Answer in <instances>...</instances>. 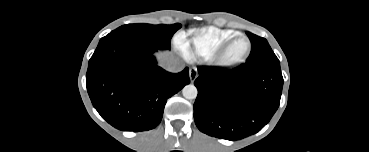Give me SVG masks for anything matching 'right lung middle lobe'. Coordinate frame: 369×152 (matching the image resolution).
<instances>
[{
  "instance_id": "dd1d6c3e",
  "label": "right lung middle lobe",
  "mask_w": 369,
  "mask_h": 152,
  "mask_svg": "<svg viewBox=\"0 0 369 152\" xmlns=\"http://www.w3.org/2000/svg\"><path fill=\"white\" fill-rule=\"evenodd\" d=\"M180 28L181 24H128L113 30L107 36L101 38L99 43L119 38H132L152 44L159 49H170V40Z\"/></svg>"
}]
</instances>
